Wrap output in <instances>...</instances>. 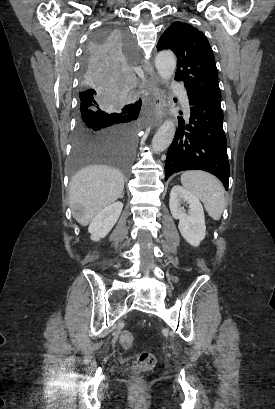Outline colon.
<instances>
[{
  "mask_svg": "<svg viewBox=\"0 0 275 409\" xmlns=\"http://www.w3.org/2000/svg\"><path fill=\"white\" fill-rule=\"evenodd\" d=\"M119 345L122 348L129 349L135 344L134 335L129 330L122 331L118 336ZM155 365L154 355L150 352H142L134 360V369L136 374L149 372Z\"/></svg>",
  "mask_w": 275,
  "mask_h": 409,
  "instance_id": "1",
  "label": "colon"
}]
</instances>
